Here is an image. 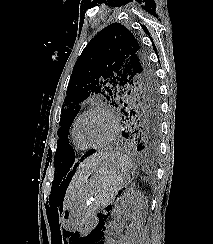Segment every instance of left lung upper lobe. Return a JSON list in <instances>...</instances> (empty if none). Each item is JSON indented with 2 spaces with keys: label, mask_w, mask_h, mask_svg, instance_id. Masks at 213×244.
Masks as SVG:
<instances>
[{
  "label": "left lung upper lobe",
  "mask_w": 213,
  "mask_h": 244,
  "mask_svg": "<svg viewBox=\"0 0 213 244\" xmlns=\"http://www.w3.org/2000/svg\"><path fill=\"white\" fill-rule=\"evenodd\" d=\"M94 95H103L121 115L139 124L159 125V94L154 72L137 39L120 23L110 24L97 33L73 67L54 156L57 173L68 171L75 160L68 132L80 103Z\"/></svg>",
  "instance_id": "left-lung-upper-lobe-1"
}]
</instances>
